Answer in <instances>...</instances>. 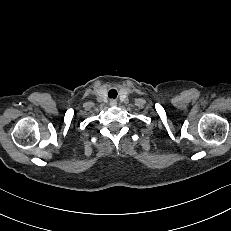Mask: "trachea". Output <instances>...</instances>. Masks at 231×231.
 Segmentation results:
<instances>
[{
    "mask_svg": "<svg viewBox=\"0 0 231 231\" xmlns=\"http://www.w3.org/2000/svg\"><path fill=\"white\" fill-rule=\"evenodd\" d=\"M108 96H109V98H116L117 97V91L115 89H111L108 92Z\"/></svg>",
    "mask_w": 231,
    "mask_h": 231,
    "instance_id": "obj_1",
    "label": "trachea"
}]
</instances>
